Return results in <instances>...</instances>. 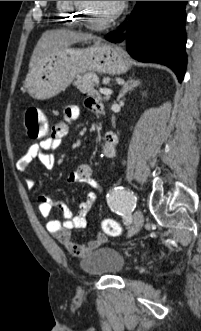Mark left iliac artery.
I'll list each match as a JSON object with an SVG mask.
<instances>
[{"mask_svg": "<svg viewBox=\"0 0 201 331\" xmlns=\"http://www.w3.org/2000/svg\"><path fill=\"white\" fill-rule=\"evenodd\" d=\"M107 202L113 212L127 221L129 220L131 212L136 207V197L134 193L122 186H116L107 194Z\"/></svg>", "mask_w": 201, "mask_h": 331, "instance_id": "obj_1", "label": "left iliac artery"}]
</instances>
